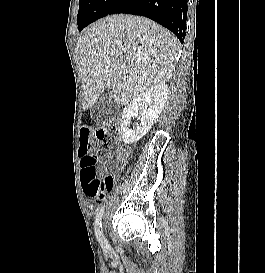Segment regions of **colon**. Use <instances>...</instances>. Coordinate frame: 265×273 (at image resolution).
Returning <instances> with one entry per match:
<instances>
[{
	"label": "colon",
	"mask_w": 265,
	"mask_h": 273,
	"mask_svg": "<svg viewBox=\"0 0 265 273\" xmlns=\"http://www.w3.org/2000/svg\"><path fill=\"white\" fill-rule=\"evenodd\" d=\"M119 121L113 120L96 129H81V181L85 194L105 197L113 188V179L107 176L103 180L98 178L97 159L101 144H109L118 131Z\"/></svg>",
	"instance_id": "colon-1"
}]
</instances>
